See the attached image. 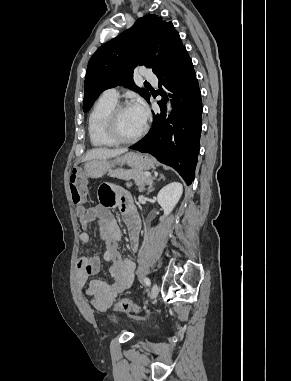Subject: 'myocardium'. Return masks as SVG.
<instances>
[{
	"mask_svg": "<svg viewBox=\"0 0 291 381\" xmlns=\"http://www.w3.org/2000/svg\"><path fill=\"white\" fill-rule=\"evenodd\" d=\"M130 107L128 103H117L106 115L104 120V132L109 139L116 144H131L139 141L147 132V124L145 123L142 130L131 138L122 137L117 130V119L119 114Z\"/></svg>",
	"mask_w": 291,
	"mask_h": 381,
	"instance_id": "obj_1",
	"label": "myocardium"
}]
</instances>
